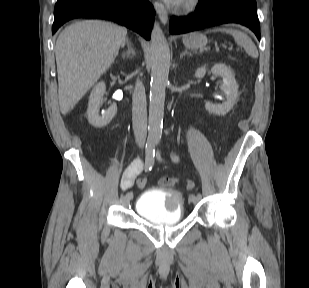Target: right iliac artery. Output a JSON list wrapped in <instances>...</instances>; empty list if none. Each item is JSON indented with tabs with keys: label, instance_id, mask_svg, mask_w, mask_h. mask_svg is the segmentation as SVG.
<instances>
[{
	"label": "right iliac artery",
	"instance_id": "right-iliac-artery-1",
	"mask_svg": "<svg viewBox=\"0 0 309 288\" xmlns=\"http://www.w3.org/2000/svg\"><path fill=\"white\" fill-rule=\"evenodd\" d=\"M155 139H148L145 147L146 154V163L143 166L145 171H150L152 169V165L154 164V156H155ZM127 195H132V190H127Z\"/></svg>",
	"mask_w": 309,
	"mask_h": 288
}]
</instances>
